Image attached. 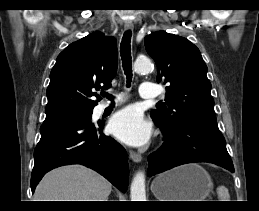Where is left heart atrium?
<instances>
[{"label": "left heart atrium", "mask_w": 259, "mask_h": 211, "mask_svg": "<svg viewBox=\"0 0 259 211\" xmlns=\"http://www.w3.org/2000/svg\"><path fill=\"white\" fill-rule=\"evenodd\" d=\"M110 132L121 142L131 146H142L151 136V124L135 107L118 111L109 122Z\"/></svg>", "instance_id": "1"}]
</instances>
